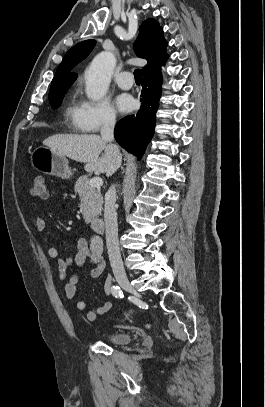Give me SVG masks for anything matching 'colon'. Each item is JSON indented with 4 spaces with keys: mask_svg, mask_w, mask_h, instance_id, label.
Segmentation results:
<instances>
[{
    "mask_svg": "<svg viewBox=\"0 0 265 407\" xmlns=\"http://www.w3.org/2000/svg\"><path fill=\"white\" fill-rule=\"evenodd\" d=\"M31 194L39 198H45L47 196V183L43 176L35 177L31 187Z\"/></svg>",
    "mask_w": 265,
    "mask_h": 407,
    "instance_id": "colon-1",
    "label": "colon"
}]
</instances>
